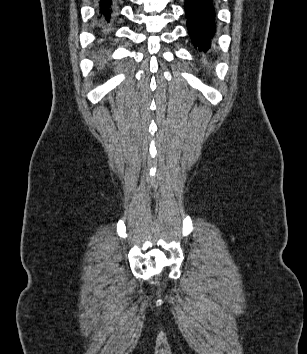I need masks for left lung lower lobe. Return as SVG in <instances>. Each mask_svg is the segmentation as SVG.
Segmentation results:
<instances>
[{"mask_svg":"<svg viewBox=\"0 0 307 354\" xmlns=\"http://www.w3.org/2000/svg\"><path fill=\"white\" fill-rule=\"evenodd\" d=\"M215 0H185L187 29L193 44L199 51L210 49L216 30Z\"/></svg>","mask_w":307,"mask_h":354,"instance_id":"left-lung-lower-lobe-1","label":"left lung lower lobe"}]
</instances>
